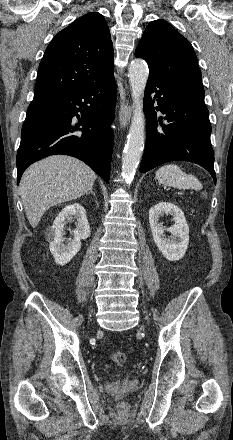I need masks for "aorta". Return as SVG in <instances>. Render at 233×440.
Instances as JSON below:
<instances>
[{"instance_id":"aorta-1","label":"aorta","mask_w":233,"mask_h":440,"mask_svg":"<svg viewBox=\"0 0 233 440\" xmlns=\"http://www.w3.org/2000/svg\"><path fill=\"white\" fill-rule=\"evenodd\" d=\"M148 76L149 70L144 60L135 59L131 62L128 68V77L134 111L122 160V175L126 182H130L134 178L144 147L143 95Z\"/></svg>"}]
</instances>
